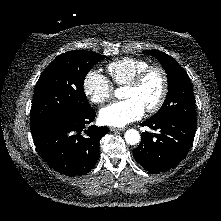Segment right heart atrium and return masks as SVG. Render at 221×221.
<instances>
[{
    "instance_id": "obj_1",
    "label": "right heart atrium",
    "mask_w": 221,
    "mask_h": 221,
    "mask_svg": "<svg viewBox=\"0 0 221 221\" xmlns=\"http://www.w3.org/2000/svg\"><path fill=\"white\" fill-rule=\"evenodd\" d=\"M83 91L90 102L104 104L112 98L114 86L100 71L90 70L84 78Z\"/></svg>"
}]
</instances>
